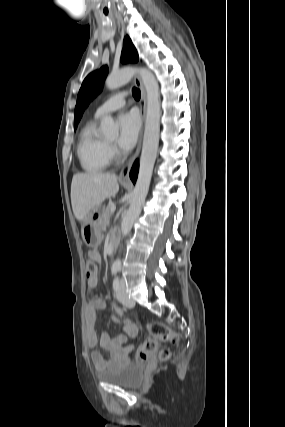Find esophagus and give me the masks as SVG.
Here are the masks:
<instances>
[{
	"mask_svg": "<svg viewBox=\"0 0 285 427\" xmlns=\"http://www.w3.org/2000/svg\"><path fill=\"white\" fill-rule=\"evenodd\" d=\"M134 83L135 85L140 89L141 91V101H140V117H141V128L139 132V139L138 144L135 153L127 160V162L124 164V166L121 169L119 178L121 180H129V173L130 170L139 156L141 145H142V138H143V130H144V123L146 118V110H147V95L146 90L144 87V84L140 78L139 75L134 76Z\"/></svg>",
	"mask_w": 285,
	"mask_h": 427,
	"instance_id": "34e87169",
	"label": "esophagus"
}]
</instances>
